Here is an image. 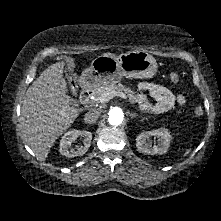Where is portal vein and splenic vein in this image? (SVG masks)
<instances>
[{
    "mask_svg": "<svg viewBox=\"0 0 221 221\" xmlns=\"http://www.w3.org/2000/svg\"><path fill=\"white\" fill-rule=\"evenodd\" d=\"M114 96H118V97H121V98H123V99H125V100H127V96L124 94V93H118V94H116V95H113L112 93H110V92H106V93H104L100 98H99V101L100 102H107V101H109L110 99H112Z\"/></svg>",
    "mask_w": 221,
    "mask_h": 221,
    "instance_id": "1",
    "label": "portal vein and splenic vein"
}]
</instances>
